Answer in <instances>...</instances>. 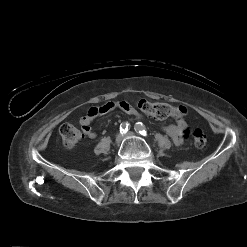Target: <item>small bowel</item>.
<instances>
[{
	"label": "small bowel",
	"instance_id": "c3829d8e",
	"mask_svg": "<svg viewBox=\"0 0 247 247\" xmlns=\"http://www.w3.org/2000/svg\"><path fill=\"white\" fill-rule=\"evenodd\" d=\"M114 109H120L123 112L130 115H135L138 118L141 117V115L136 111V109L126 101L108 102L101 106L91 107L87 111L86 115L81 117L79 120L84 134L90 139L96 138V133L91 128L92 121L96 117L106 114ZM163 130L170 136L175 145L183 144L184 140L189 134L188 124L183 118L176 119V124L165 126Z\"/></svg>",
	"mask_w": 247,
	"mask_h": 247
}]
</instances>
